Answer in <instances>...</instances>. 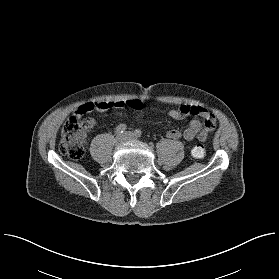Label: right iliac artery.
<instances>
[{"label":"right iliac artery","instance_id":"1","mask_svg":"<svg viewBox=\"0 0 279 279\" xmlns=\"http://www.w3.org/2000/svg\"><path fill=\"white\" fill-rule=\"evenodd\" d=\"M126 130L125 124H120L116 127L115 133L116 135H121Z\"/></svg>","mask_w":279,"mask_h":279}]
</instances>
